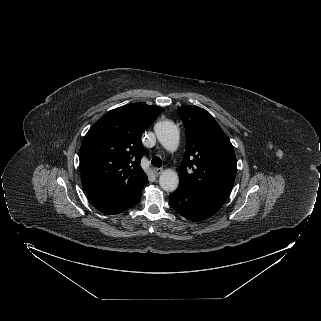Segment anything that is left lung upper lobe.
Returning <instances> with one entry per match:
<instances>
[{"mask_svg": "<svg viewBox=\"0 0 321 321\" xmlns=\"http://www.w3.org/2000/svg\"><path fill=\"white\" fill-rule=\"evenodd\" d=\"M177 109L186 132L179 187L228 197L236 176V156L229 138L205 109Z\"/></svg>", "mask_w": 321, "mask_h": 321, "instance_id": "5c2ea615", "label": "left lung upper lobe"}]
</instances>
